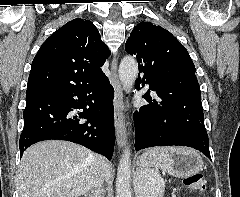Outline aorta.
<instances>
[{"mask_svg": "<svg viewBox=\"0 0 240 197\" xmlns=\"http://www.w3.org/2000/svg\"><path fill=\"white\" fill-rule=\"evenodd\" d=\"M119 79L126 92H130L138 75V63L131 56H125L119 66ZM131 150L127 146L121 156L116 179V197H132L131 178ZM138 178V177H137Z\"/></svg>", "mask_w": 240, "mask_h": 197, "instance_id": "aorta-1", "label": "aorta"}]
</instances>
